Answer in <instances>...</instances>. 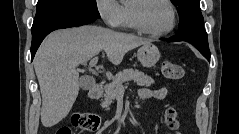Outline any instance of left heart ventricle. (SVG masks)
<instances>
[{"label": "left heart ventricle", "mask_w": 239, "mask_h": 134, "mask_svg": "<svg viewBox=\"0 0 239 134\" xmlns=\"http://www.w3.org/2000/svg\"><path fill=\"white\" fill-rule=\"evenodd\" d=\"M140 16L143 24L152 31L164 30L171 23L169 8L159 0L146 2L140 11Z\"/></svg>", "instance_id": "left-heart-ventricle-1"}]
</instances>
